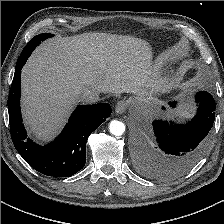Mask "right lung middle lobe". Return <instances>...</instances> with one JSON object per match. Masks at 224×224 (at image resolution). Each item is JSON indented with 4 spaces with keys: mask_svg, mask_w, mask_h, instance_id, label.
Returning a JSON list of instances; mask_svg holds the SVG:
<instances>
[{
    "mask_svg": "<svg viewBox=\"0 0 224 224\" xmlns=\"http://www.w3.org/2000/svg\"><path fill=\"white\" fill-rule=\"evenodd\" d=\"M50 37H53V34H50V33L39 34V35L35 36L34 38H32L31 41L27 44V46L35 48L42 41H44L45 39L50 38Z\"/></svg>",
    "mask_w": 224,
    "mask_h": 224,
    "instance_id": "dd1d6c3e",
    "label": "right lung middle lobe"
}]
</instances>
